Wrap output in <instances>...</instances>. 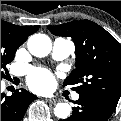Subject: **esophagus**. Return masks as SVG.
I'll return each instance as SVG.
<instances>
[{
	"label": "esophagus",
	"mask_w": 121,
	"mask_h": 121,
	"mask_svg": "<svg viewBox=\"0 0 121 121\" xmlns=\"http://www.w3.org/2000/svg\"><path fill=\"white\" fill-rule=\"evenodd\" d=\"M47 101L49 103H51V104H56L57 103V100L56 99H48Z\"/></svg>",
	"instance_id": "34e87169"
}]
</instances>
